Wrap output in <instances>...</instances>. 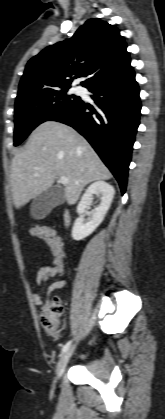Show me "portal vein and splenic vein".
Segmentation results:
<instances>
[{
  "label": "portal vein and splenic vein",
  "mask_w": 165,
  "mask_h": 419,
  "mask_svg": "<svg viewBox=\"0 0 165 419\" xmlns=\"http://www.w3.org/2000/svg\"><path fill=\"white\" fill-rule=\"evenodd\" d=\"M68 181H69V178L63 176V177H60L58 182L65 185L68 183Z\"/></svg>",
  "instance_id": "obj_1"
}]
</instances>
